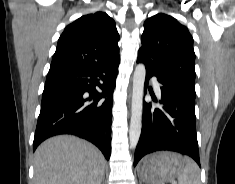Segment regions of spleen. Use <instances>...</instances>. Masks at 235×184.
<instances>
[{"mask_svg":"<svg viewBox=\"0 0 235 184\" xmlns=\"http://www.w3.org/2000/svg\"><path fill=\"white\" fill-rule=\"evenodd\" d=\"M185 168L178 176V184H201L199 168L191 158H184Z\"/></svg>","mask_w":235,"mask_h":184,"instance_id":"spleen-1","label":"spleen"}]
</instances>
